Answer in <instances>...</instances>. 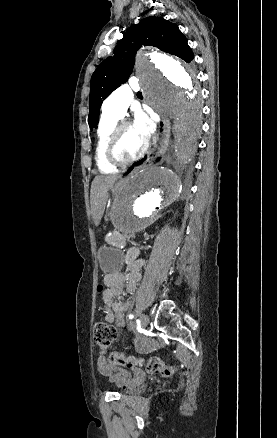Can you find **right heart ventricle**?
<instances>
[{
	"label": "right heart ventricle",
	"mask_w": 277,
	"mask_h": 438,
	"mask_svg": "<svg viewBox=\"0 0 277 438\" xmlns=\"http://www.w3.org/2000/svg\"><path fill=\"white\" fill-rule=\"evenodd\" d=\"M118 119L114 118H101L98 131H97V147H96V161L98 168L103 173H115L117 167L108 162L106 157V146L110 137V134L117 124Z\"/></svg>",
	"instance_id": "e07e8e85"
}]
</instances>
